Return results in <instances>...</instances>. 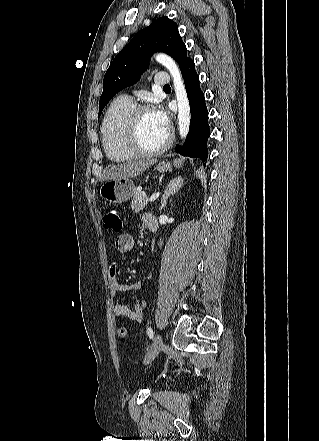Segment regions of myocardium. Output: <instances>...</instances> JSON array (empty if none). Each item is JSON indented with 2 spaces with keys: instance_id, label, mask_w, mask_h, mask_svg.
<instances>
[{
  "instance_id": "myocardium-1",
  "label": "myocardium",
  "mask_w": 319,
  "mask_h": 441,
  "mask_svg": "<svg viewBox=\"0 0 319 441\" xmlns=\"http://www.w3.org/2000/svg\"><path fill=\"white\" fill-rule=\"evenodd\" d=\"M151 112V109L145 105H137L130 112L124 130V141L126 146L135 154L139 156H156L165 152L173 141V132L168 130L165 141L155 149L144 148L138 139V127L142 114Z\"/></svg>"
}]
</instances>
